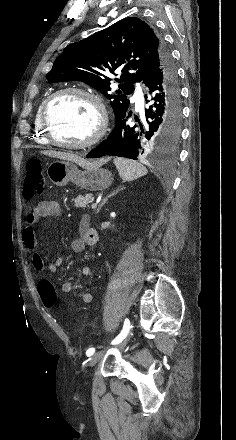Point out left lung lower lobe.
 Masks as SVG:
<instances>
[{
    "label": "left lung lower lobe",
    "mask_w": 236,
    "mask_h": 440,
    "mask_svg": "<svg viewBox=\"0 0 236 440\" xmlns=\"http://www.w3.org/2000/svg\"><path fill=\"white\" fill-rule=\"evenodd\" d=\"M142 82L149 88L145 95L148 108L142 123L129 125L131 112L115 118V127L106 140L87 154V158L105 155L136 160L149 150L171 147L178 139L182 119L181 94L177 72L169 52L154 58ZM155 143V144H154Z\"/></svg>",
    "instance_id": "left-lung-lower-lobe-1"
}]
</instances>
